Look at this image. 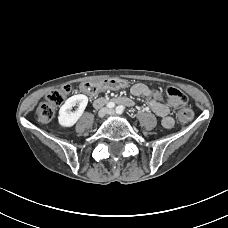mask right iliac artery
Returning <instances> with one entry per match:
<instances>
[{
    "instance_id": "right-iliac-artery-1",
    "label": "right iliac artery",
    "mask_w": 228,
    "mask_h": 228,
    "mask_svg": "<svg viewBox=\"0 0 228 228\" xmlns=\"http://www.w3.org/2000/svg\"><path fill=\"white\" fill-rule=\"evenodd\" d=\"M107 107L108 108H114L115 107V103L114 102H109L108 104H107Z\"/></svg>"
}]
</instances>
